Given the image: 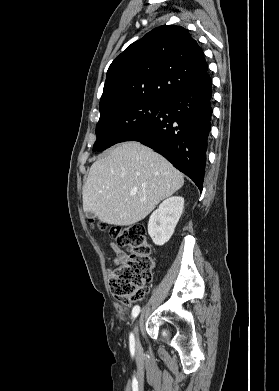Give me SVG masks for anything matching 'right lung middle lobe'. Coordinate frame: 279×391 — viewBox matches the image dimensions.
I'll return each instance as SVG.
<instances>
[{"instance_id":"right-lung-middle-lobe-1","label":"right lung middle lobe","mask_w":279,"mask_h":391,"mask_svg":"<svg viewBox=\"0 0 279 391\" xmlns=\"http://www.w3.org/2000/svg\"><path fill=\"white\" fill-rule=\"evenodd\" d=\"M163 103L136 101L100 113L93 151H102L121 142L129 132L153 120Z\"/></svg>"}]
</instances>
